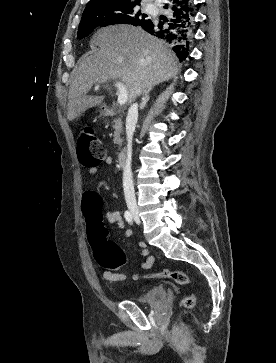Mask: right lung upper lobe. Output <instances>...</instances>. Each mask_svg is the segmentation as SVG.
<instances>
[{
  "label": "right lung upper lobe",
  "instance_id": "cb5924a9",
  "mask_svg": "<svg viewBox=\"0 0 276 363\" xmlns=\"http://www.w3.org/2000/svg\"><path fill=\"white\" fill-rule=\"evenodd\" d=\"M108 1H127V2H136V3H140V1H141V0H90L86 7L91 6V5H93V4L102 3V2H108ZM145 22H151V21H150V20L145 19V21H143V22L141 23V26H142Z\"/></svg>",
  "mask_w": 276,
  "mask_h": 363
}]
</instances>
